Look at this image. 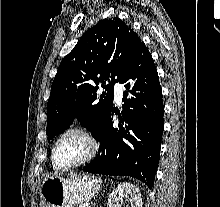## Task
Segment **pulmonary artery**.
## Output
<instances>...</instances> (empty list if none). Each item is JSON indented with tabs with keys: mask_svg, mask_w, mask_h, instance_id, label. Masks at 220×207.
I'll return each instance as SVG.
<instances>
[{
	"mask_svg": "<svg viewBox=\"0 0 220 207\" xmlns=\"http://www.w3.org/2000/svg\"><path fill=\"white\" fill-rule=\"evenodd\" d=\"M114 94H115V100L117 103L121 102L122 99V86L119 83L114 84Z\"/></svg>",
	"mask_w": 220,
	"mask_h": 207,
	"instance_id": "e3ab8cb5",
	"label": "pulmonary artery"
}]
</instances>
